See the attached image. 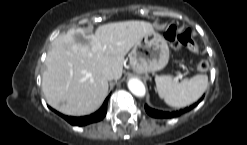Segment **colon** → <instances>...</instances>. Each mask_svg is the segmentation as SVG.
I'll return each mask as SVG.
<instances>
[{
  "mask_svg": "<svg viewBox=\"0 0 247 145\" xmlns=\"http://www.w3.org/2000/svg\"><path fill=\"white\" fill-rule=\"evenodd\" d=\"M164 36L178 51L182 50L183 48H186L193 53H198L199 51L198 46L193 40L190 30H185L178 34L176 27L171 26L165 31ZM196 68L200 72H206L209 68V65L206 61H199L196 64Z\"/></svg>",
  "mask_w": 247,
  "mask_h": 145,
  "instance_id": "colon-1",
  "label": "colon"
}]
</instances>
